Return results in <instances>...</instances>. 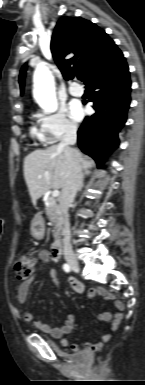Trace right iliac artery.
Here are the masks:
<instances>
[{"mask_svg": "<svg viewBox=\"0 0 145 385\" xmlns=\"http://www.w3.org/2000/svg\"><path fill=\"white\" fill-rule=\"evenodd\" d=\"M63 269H64L65 272H70L71 271L70 266L68 264H64L63 265Z\"/></svg>", "mask_w": 145, "mask_h": 385, "instance_id": "obj_1", "label": "right iliac artery"}]
</instances>
